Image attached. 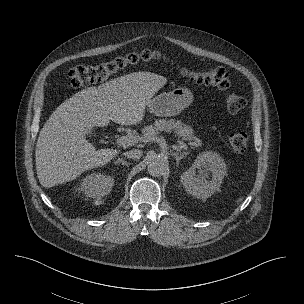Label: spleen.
Wrapping results in <instances>:
<instances>
[{"mask_svg": "<svg viewBox=\"0 0 304 304\" xmlns=\"http://www.w3.org/2000/svg\"><path fill=\"white\" fill-rule=\"evenodd\" d=\"M243 200V197L238 198L237 204L240 203Z\"/></svg>", "mask_w": 304, "mask_h": 304, "instance_id": "3e777b00", "label": "spleen"}]
</instances>
